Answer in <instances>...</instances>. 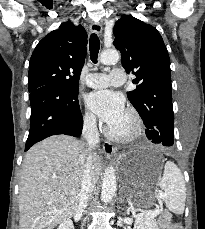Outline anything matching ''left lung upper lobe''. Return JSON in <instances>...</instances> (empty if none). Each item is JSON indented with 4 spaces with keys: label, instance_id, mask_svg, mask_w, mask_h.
I'll return each mask as SVG.
<instances>
[{
    "label": "left lung upper lobe",
    "instance_id": "5c2ea615",
    "mask_svg": "<svg viewBox=\"0 0 205 229\" xmlns=\"http://www.w3.org/2000/svg\"><path fill=\"white\" fill-rule=\"evenodd\" d=\"M113 45L121 52L122 66L136 76L135 90L127 92L129 101L146 126V135L161 127L172 146L174 113L171 96V69L168 51L157 29L132 16L122 15L114 26ZM148 138V137H147Z\"/></svg>",
    "mask_w": 205,
    "mask_h": 229
}]
</instances>
